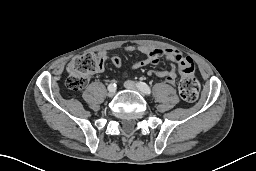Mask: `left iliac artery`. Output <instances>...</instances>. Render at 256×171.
Instances as JSON below:
<instances>
[{"instance_id": "obj_1", "label": "left iliac artery", "mask_w": 256, "mask_h": 171, "mask_svg": "<svg viewBox=\"0 0 256 171\" xmlns=\"http://www.w3.org/2000/svg\"><path fill=\"white\" fill-rule=\"evenodd\" d=\"M137 86L146 95H150L151 94V89H150V87L146 83L138 82Z\"/></svg>"}]
</instances>
